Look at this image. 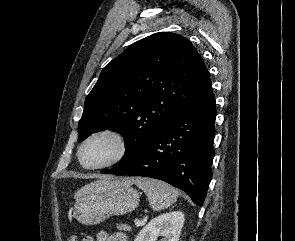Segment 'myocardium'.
Listing matches in <instances>:
<instances>
[{
    "label": "myocardium",
    "instance_id": "obj_1",
    "mask_svg": "<svg viewBox=\"0 0 295 241\" xmlns=\"http://www.w3.org/2000/svg\"><path fill=\"white\" fill-rule=\"evenodd\" d=\"M110 136L112 138H114L119 146V151L117 153V155L112 158L111 160L102 163V164H98V165H86L83 160H82V151L84 149V147L86 146V144L92 140L95 137L98 136ZM129 150H130V146H129V142L127 137L119 130L115 129V128H101L98 130L93 131L92 133H90L79 145L78 150H77V158L78 161L80 163V165L88 170H98V169H105V168H109L112 166H115L119 163H121L129 154Z\"/></svg>",
    "mask_w": 295,
    "mask_h": 241
}]
</instances>
